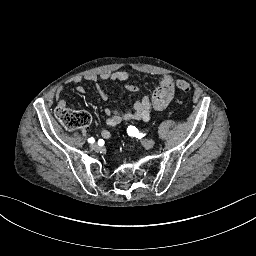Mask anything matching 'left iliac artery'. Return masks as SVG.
Returning a JSON list of instances; mask_svg holds the SVG:
<instances>
[{"instance_id": "obj_1", "label": "left iliac artery", "mask_w": 256, "mask_h": 256, "mask_svg": "<svg viewBox=\"0 0 256 256\" xmlns=\"http://www.w3.org/2000/svg\"><path fill=\"white\" fill-rule=\"evenodd\" d=\"M127 133L129 136H133V137H136V138H142L145 134H142V133H139L138 129L134 126H129L127 128Z\"/></svg>"}]
</instances>
